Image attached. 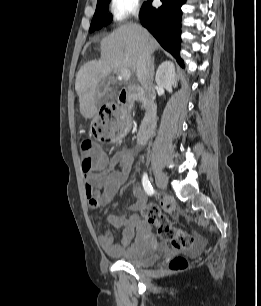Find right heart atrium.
Returning <instances> with one entry per match:
<instances>
[{
  "label": "right heart atrium",
  "instance_id": "d8ad5b80",
  "mask_svg": "<svg viewBox=\"0 0 261 306\" xmlns=\"http://www.w3.org/2000/svg\"><path fill=\"white\" fill-rule=\"evenodd\" d=\"M139 0H110L109 14L113 24L118 25L136 15Z\"/></svg>",
  "mask_w": 261,
  "mask_h": 306
}]
</instances>
